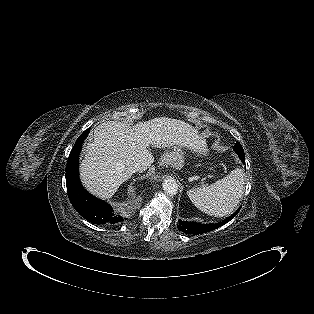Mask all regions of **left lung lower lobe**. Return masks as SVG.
<instances>
[{
	"label": "left lung lower lobe",
	"mask_w": 314,
	"mask_h": 314,
	"mask_svg": "<svg viewBox=\"0 0 314 314\" xmlns=\"http://www.w3.org/2000/svg\"><path fill=\"white\" fill-rule=\"evenodd\" d=\"M239 157H240L241 161L243 163H245V155L241 154V155H239ZM240 208L234 214H232L230 217H228L225 221L220 222V223L201 224V223H196V222H186V221L179 220L177 227L180 231L187 233V234L197 235V234L209 232V231L215 230V229L219 228L220 226H222L223 224L229 222L232 218H234L237 215Z\"/></svg>",
	"instance_id": "1"
}]
</instances>
